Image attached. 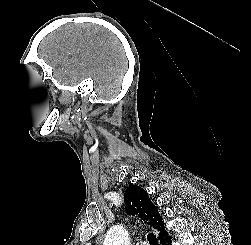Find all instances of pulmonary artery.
<instances>
[{
  "label": "pulmonary artery",
  "mask_w": 251,
  "mask_h": 245,
  "mask_svg": "<svg viewBox=\"0 0 251 245\" xmlns=\"http://www.w3.org/2000/svg\"><path fill=\"white\" fill-rule=\"evenodd\" d=\"M138 245H147V243L146 242H140V243H138Z\"/></svg>",
  "instance_id": "1"
}]
</instances>
